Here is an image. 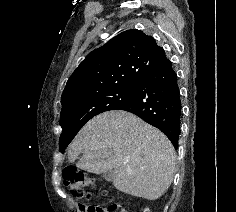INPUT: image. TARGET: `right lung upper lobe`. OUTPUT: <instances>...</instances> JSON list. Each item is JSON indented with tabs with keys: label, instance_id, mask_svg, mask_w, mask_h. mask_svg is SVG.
Wrapping results in <instances>:
<instances>
[{
	"label": "right lung upper lobe",
	"instance_id": "1",
	"mask_svg": "<svg viewBox=\"0 0 236 212\" xmlns=\"http://www.w3.org/2000/svg\"><path fill=\"white\" fill-rule=\"evenodd\" d=\"M164 57L153 37L136 29L124 31L80 63L66 83L62 107L93 94L137 86Z\"/></svg>",
	"mask_w": 236,
	"mask_h": 212
}]
</instances>
